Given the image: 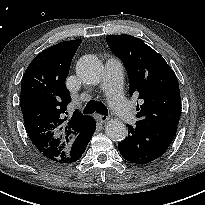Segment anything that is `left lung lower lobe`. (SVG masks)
Returning a JSON list of instances; mask_svg holds the SVG:
<instances>
[{
	"mask_svg": "<svg viewBox=\"0 0 205 205\" xmlns=\"http://www.w3.org/2000/svg\"><path fill=\"white\" fill-rule=\"evenodd\" d=\"M128 136L118 143V148L129 162L146 164L159 158L170 146L177 131V125L164 126L136 122L127 125Z\"/></svg>",
	"mask_w": 205,
	"mask_h": 205,
	"instance_id": "obj_1",
	"label": "left lung lower lobe"
}]
</instances>
